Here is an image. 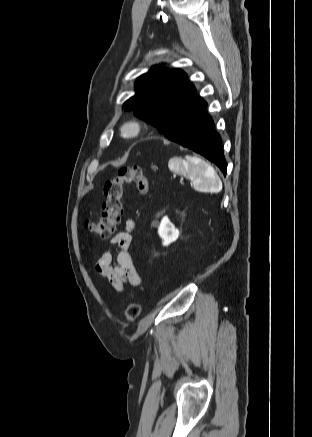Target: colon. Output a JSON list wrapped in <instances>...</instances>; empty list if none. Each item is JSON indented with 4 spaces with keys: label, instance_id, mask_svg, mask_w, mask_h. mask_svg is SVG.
I'll use <instances>...</instances> for the list:
<instances>
[{
    "label": "colon",
    "instance_id": "5ec220e1",
    "mask_svg": "<svg viewBox=\"0 0 312 437\" xmlns=\"http://www.w3.org/2000/svg\"><path fill=\"white\" fill-rule=\"evenodd\" d=\"M127 184L134 185L141 194H146L149 190V180L140 166L120 168L117 175L107 179L103 185L104 202L99 220L86 223L94 235L109 238L115 233L122 213L123 190ZM140 313L141 305L130 302L125 310V318L128 322H134Z\"/></svg>",
    "mask_w": 312,
    "mask_h": 437
}]
</instances>
